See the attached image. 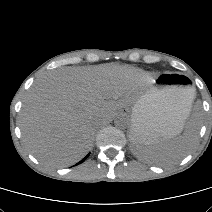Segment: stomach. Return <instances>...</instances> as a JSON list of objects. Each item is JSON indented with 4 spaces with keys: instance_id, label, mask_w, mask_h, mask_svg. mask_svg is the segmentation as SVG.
I'll list each match as a JSON object with an SVG mask.
<instances>
[{
    "instance_id": "obj_1",
    "label": "stomach",
    "mask_w": 212,
    "mask_h": 212,
    "mask_svg": "<svg viewBox=\"0 0 212 212\" xmlns=\"http://www.w3.org/2000/svg\"><path fill=\"white\" fill-rule=\"evenodd\" d=\"M186 80L180 74L157 76L153 85L132 108L130 139L136 147L139 141L154 144L177 136L184 125L182 97Z\"/></svg>"
}]
</instances>
